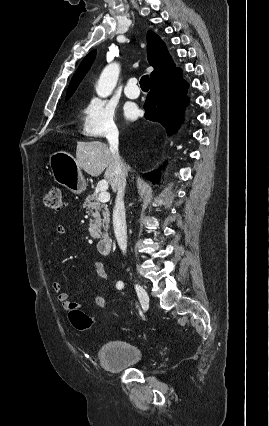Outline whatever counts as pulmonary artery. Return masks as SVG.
<instances>
[{
  "instance_id": "pulmonary-artery-1",
  "label": "pulmonary artery",
  "mask_w": 269,
  "mask_h": 426,
  "mask_svg": "<svg viewBox=\"0 0 269 426\" xmlns=\"http://www.w3.org/2000/svg\"><path fill=\"white\" fill-rule=\"evenodd\" d=\"M124 93L128 98L136 99L140 95V90L137 86V79L132 77L127 81V84L124 88Z\"/></svg>"
}]
</instances>
